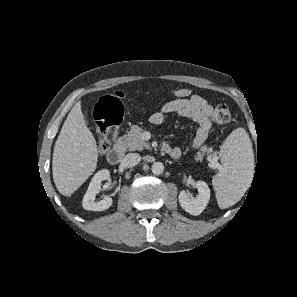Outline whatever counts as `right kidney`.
I'll return each instance as SVG.
<instances>
[{"mask_svg":"<svg viewBox=\"0 0 297 297\" xmlns=\"http://www.w3.org/2000/svg\"><path fill=\"white\" fill-rule=\"evenodd\" d=\"M110 177L109 170L103 169L98 171L92 178L88 189L83 197L82 206L85 210L90 211H104L109 209L113 200L109 196H105L102 200L96 202L95 196L101 189V182L108 180Z\"/></svg>","mask_w":297,"mask_h":297,"instance_id":"ca27d5eb","label":"right kidney"}]
</instances>
